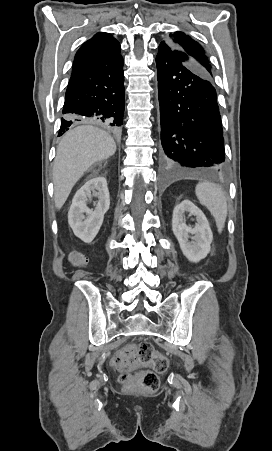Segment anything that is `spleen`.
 <instances>
[{
	"label": "spleen",
	"instance_id": "3e777b00",
	"mask_svg": "<svg viewBox=\"0 0 272 451\" xmlns=\"http://www.w3.org/2000/svg\"><path fill=\"white\" fill-rule=\"evenodd\" d=\"M196 196L203 206L211 212L215 218L216 226L221 233L225 226V220L228 212L227 200L218 184H209V182H199L195 188Z\"/></svg>",
	"mask_w": 272,
	"mask_h": 451
}]
</instances>
